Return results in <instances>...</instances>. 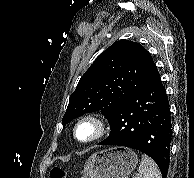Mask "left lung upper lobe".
<instances>
[{"mask_svg": "<svg viewBox=\"0 0 194 178\" xmlns=\"http://www.w3.org/2000/svg\"><path fill=\"white\" fill-rule=\"evenodd\" d=\"M160 78L150 53L139 43L120 40L101 53L81 77L62 119L63 127L85 113L106 118L125 99Z\"/></svg>", "mask_w": 194, "mask_h": 178, "instance_id": "left-lung-upper-lobe-1", "label": "left lung upper lobe"}]
</instances>
